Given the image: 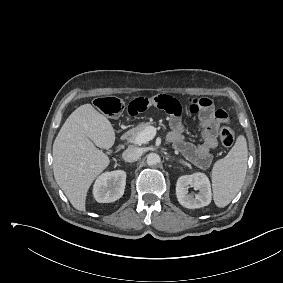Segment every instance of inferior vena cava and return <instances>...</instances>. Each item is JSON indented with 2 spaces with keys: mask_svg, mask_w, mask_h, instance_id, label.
<instances>
[{
  "mask_svg": "<svg viewBox=\"0 0 283 283\" xmlns=\"http://www.w3.org/2000/svg\"><path fill=\"white\" fill-rule=\"evenodd\" d=\"M142 155L140 148H128L122 154V158L125 162H135Z\"/></svg>",
  "mask_w": 283,
  "mask_h": 283,
  "instance_id": "inferior-vena-cava-1",
  "label": "inferior vena cava"
}]
</instances>
